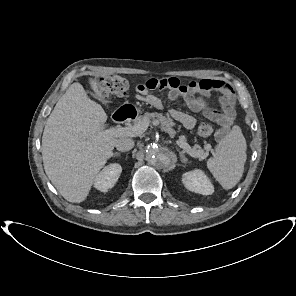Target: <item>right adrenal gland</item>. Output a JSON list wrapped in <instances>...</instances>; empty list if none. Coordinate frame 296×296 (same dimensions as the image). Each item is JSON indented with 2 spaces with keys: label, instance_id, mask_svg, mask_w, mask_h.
I'll return each instance as SVG.
<instances>
[{
  "label": "right adrenal gland",
  "instance_id": "right-adrenal-gland-1",
  "mask_svg": "<svg viewBox=\"0 0 296 296\" xmlns=\"http://www.w3.org/2000/svg\"><path fill=\"white\" fill-rule=\"evenodd\" d=\"M120 156H121V154L118 153V152H115V153L112 154V157H114V158H115V157H120Z\"/></svg>",
  "mask_w": 296,
  "mask_h": 296
}]
</instances>
